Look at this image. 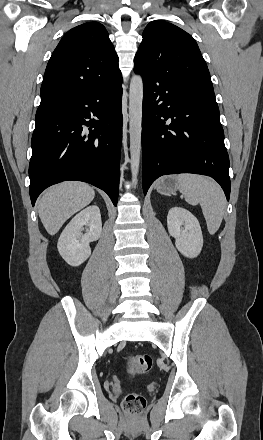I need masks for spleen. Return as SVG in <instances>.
I'll use <instances>...</instances> for the list:
<instances>
[{
	"label": "spleen",
	"mask_w": 263,
	"mask_h": 440,
	"mask_svg": "<svg viewBox=\"0 0 263 440\" xmlns=\"http://www.w3.org/2000/svg\"><path fill=\"white\" fill-rule=\"evenodd\" d=\"M177 189L190 205L200 204L210 234L219 229L226 208V199L221 187L212 179L197 174L176 176Z\"/></svg>",
	"instance_id": "spleen-1"
}]
</instances>
